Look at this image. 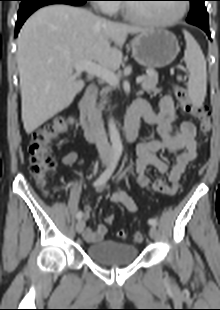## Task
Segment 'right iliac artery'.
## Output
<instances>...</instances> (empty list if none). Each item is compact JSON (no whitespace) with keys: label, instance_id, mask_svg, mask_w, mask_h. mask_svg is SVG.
Returning <instances> with one entry per match:
<instances>
[{"label":"right iliac artery","instance_id":"right-iliac-artery-1","mask_svg":"<svg viewBox=\"0 0 220 310\" xmlns=\"http://www.w3.org/2000/svg\"><path fill=\"white\" fill-rule=\"evenodd\" d=\"M121 156V149H114L113 151V157L110 165L106 168V170L99 176V178L93 183L94 186H97L99 184L105 183L110 176L112 175L118 160ZM83 216V213L79 211L76 215L77 219H81Z\"/></svg>","mask_w":220,"mask_h":310}]
</instances>
